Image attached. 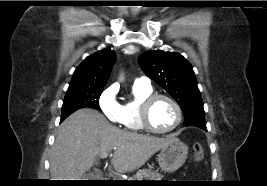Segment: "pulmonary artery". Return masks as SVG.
<instances>
[{"mask_svg": "<svg viewBox=\"0 0 267 186\" xmlns=\"http://www.w3.org/2000/svg\"><path fill=\"white\" fill-rule=\"evenodd\" d=\"M135 84L150 86V80L146 77L137 78Z\"/></svg>", "mask_w": 267, "mask_h": 186, "instance_id": "e3ab8cb5", "label": "pulmonary artery"}]
</instances>
